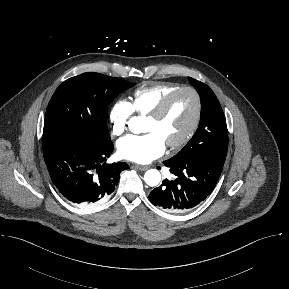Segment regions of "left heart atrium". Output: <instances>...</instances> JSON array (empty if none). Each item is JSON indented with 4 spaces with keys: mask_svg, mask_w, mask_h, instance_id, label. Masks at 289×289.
Listing matches in <instances>:
<instances>
[{
    "mask_svg": "<svg viewBox=\"0 0 289 289\" xmlns=\"http://www.w3.org/2000/svg\"><path fill=\"white\" fill-rule=\"evenodd\" d=\"M117 150L123 159L144 164L160 157L165 151V143L156 133L148 132L120 139Z\"/></svg>",
    "mask_w": 289,
    "mask_h": 289,
    "instance_id": "1",
    "label": "left heart atrium"
}]
</instances>
